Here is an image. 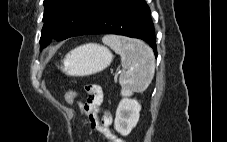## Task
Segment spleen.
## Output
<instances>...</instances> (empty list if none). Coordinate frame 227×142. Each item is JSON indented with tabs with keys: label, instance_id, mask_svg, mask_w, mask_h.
<instances>
[{
	"label": "spleen",
	"instance_id": "spleen-1",
	"mask_svg": "<svg viewBox=\"0 0 227 142\" xmlns=\"http://www.w3.org/2000/svg\"><path fill=\"white\" fill-rule=\"evenodd\" d=\"M103 43L121 56L123 73L119 77L121 95L130 96L143 92L150 85L155 72L152 49L141 40L118 35H106Z\"/></svg>",
	"mask_w": 227,
	"mask_h": 142
}]
</instances>
